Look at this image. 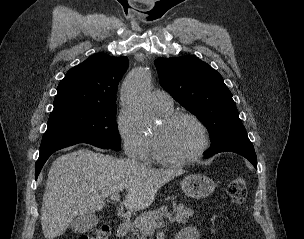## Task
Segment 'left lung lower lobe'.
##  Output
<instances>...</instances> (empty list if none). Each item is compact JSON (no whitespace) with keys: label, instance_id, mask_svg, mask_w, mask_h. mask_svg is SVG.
Masks as SVG:
<instances>
[{"label":"left lung lower lobe","instance_id":"obj_1","mask_svg":"<svg viewBox=\"0 0 304 239\" xmlns=\"http://www.w3.org/2000/svg\"><path fill=\"white\" fill-rule=\"evenodd\" d=\"M228 151L242 155L243 157L248 159L255 168H257V157H256V153L254 150H228ZM213 154H216V153H206L205 157L208 158V157L212 156Z\"/></svg>","mask_w":304,"mask_h":239}]
</instances>
